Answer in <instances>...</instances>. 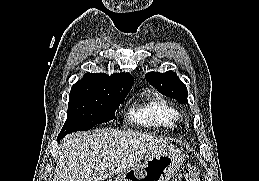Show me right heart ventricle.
<instances>
[{"instance_id":"e07e8e85","label":"right heart ventricle","mask_w":259,"mask_h":181,"mask_svg":"<svg viewBox=\"0 0 259 181\" xmlns=\"http://www.w3.org/2000/svg\"><path fill=\"white\" fill-rule=\"evenodd\" d=\"M129 120L146 127L174 130L181 121L180 112L163 96L147 92L144 99L133 106L128 114Z\"/></svg>"}]
</instances>
